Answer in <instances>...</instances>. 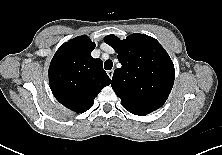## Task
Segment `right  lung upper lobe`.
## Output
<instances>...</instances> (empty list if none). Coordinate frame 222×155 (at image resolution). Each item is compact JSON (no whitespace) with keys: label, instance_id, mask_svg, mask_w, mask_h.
I'll list each match as a JSON object with an SVG mask.
<instances>
[{"label":"right lung upper lobe","instance_id":"cb5924a9","mask_svg":"<svg viewBox=\"0 0 222 155\" xmlns=\"http://www.w3.org/2000/svg\"><path fill=\"white\" fill-rule=\"evenodd\" d=\"M95 43L82 35L65 42L49 66V83L55 98L68 109L83 113L111 79L99 58H92Z\"/></svg>","mask_w":222,"mask_h":155}]
</instances>
